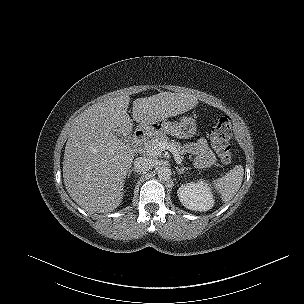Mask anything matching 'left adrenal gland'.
Masks as SVG:
<instances>
[{"instance_id":"left-adrenal-gland-1","label":"left adrenal gland","mask_w":304,"mask_h":304,"mask_svg":"<svg viewBox=\"0 0 304 304\" xmlns=\"http://www.w3.org/2000/svg\"><path fill=\"white\" fill-rule=\"evenodd\" d=\"M188 169H190V168H186V167H182V168H177V172L179 173V174H183L185 171H187Z\"/></svg>"}]
</instances>
